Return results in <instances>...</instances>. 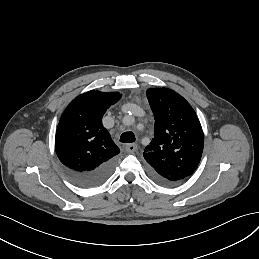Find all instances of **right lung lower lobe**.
Segmentation results:
<instances>
[{
	"mask_svg": "<svg viewBox=\"0 0 259 259\" xmlns=\"http://www.w3.org/2000/svg\"><path fill=\"white\" fill-rule=\"evenodd\" d=\"M115 165L116 158H113L94 170L75 171L65 167L64 172L75 184L81 187L90 188L104 183L111 176Z\"/></svg>",
	"mask_w": 259,
	"mask_h": 259,
	"instance_id": "98d812e1",
	"label": "right lung lower lobe"
}]
</instances>
